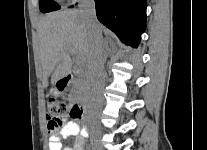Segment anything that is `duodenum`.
Returning a JSON list of instances; mask_svg holds the SVG:
<instances>
[{
    "label": "duodenum",
    "instance_id": "obj_1",
    "mask_svg": "<svg viewBox=\"0 0 207 150\" xmlns=\"http://www.w3.org/2000/svg\"><path fill=\"white\" fill-rule=\"evenodd\" d=\"M71 79H72V75L71 74L64 75L60 79L61 86H63V87L68 86L69 83L71 82ZM76 109L79 112V114L81 115V117L87 116L89 114V111H88V109L86 107L78 106V107H76Z\"/></svg>",
    "mask_w": 207,
    "mask_h": 150
}]
</instances>
